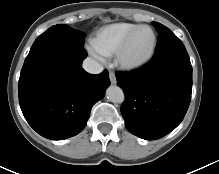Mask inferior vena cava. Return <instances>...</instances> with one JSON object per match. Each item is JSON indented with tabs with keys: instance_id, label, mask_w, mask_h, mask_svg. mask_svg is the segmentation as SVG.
Returning <instances> with one entry per match:
<instances>
[{
	"instance_id": "obj_1",
	"label": "inferior vena cava",
	"mask_w": 219,
	"mask_h": 174,
	"mask_svg": "<svg viewBox=\"0 0 219 174\" xmlns=\"http://www.w3.org/2000/svg\"><path fill=\"white\" fill-rule=\"evenodd\" d=\"M83 68L91 74H99L103 70L102 65L92 58H86L83 61Z\"/></svg>"
}]
</instances>
